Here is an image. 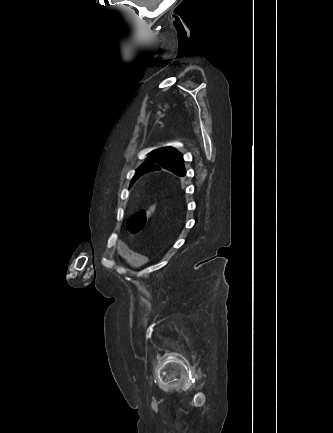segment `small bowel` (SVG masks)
Wrapping results in <instances>:
<instances>
[{"label":"small bowel","instance_id":"small-bowel-1","mask_svg":"<svg viewBox=\"0 0 333 433\" xmlns=\"http://www.w3.org/2000/svg\"><path fill=\"white\" fill-rule=\"evenodd\" d=\"M120 255L125 258L129 263L136 267L143 266L148 262V257L140 254L138 252L132 251L128 249L127 247H122L120 249Z\"/></svg>","mask_w":333,"mask_h":433}]
</instances>
